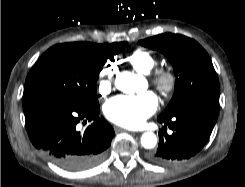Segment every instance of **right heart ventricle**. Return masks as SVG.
I'll use <instances>...</instances> for the list:
<instances>
[{
  "instance_id": "1",
  "label": "right heart ventricle",
  "mask_w": 245,
  "mask_h": 187,
  "mask_svg": "<svg viewBox=\"0 0 245 187\" xmlns=\"http://www.w3.org/2000/svg\"><path fill=\"white\" fill-rule=\"evenodd\" d=\"M128 62L135 71L141 74H149L156 67L158 60L150 51L137 48L128 55Z\"/></svg>"
}]
</instances>
